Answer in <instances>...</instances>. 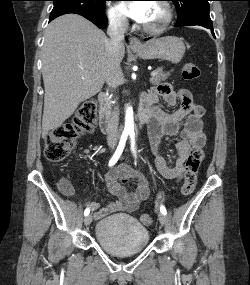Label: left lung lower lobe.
I'll return each mask as SVG.
<instances>
[{
	"mask_svg": "<svg viewBox=\"0 0 250 285\" xmlns=\"http://www.w3.org/2000/svg\"><path fill=\"white\" fill-rule=\"evenodd\" d=\"M192 25H194V26H202V27H205V28H207V29H210L211 32H212V34L214 35L213 26H212V25L203 24V23H195V24H191V25H188V26H192ZM175 26H177V25H175Z\"/></svg>",
	"mask_w": 250,
	"mask_h": 285,
	"instance_id": "left-lung-lower-lobe-1",
	"label": "left lung lower lobe"
}]
</instances>
